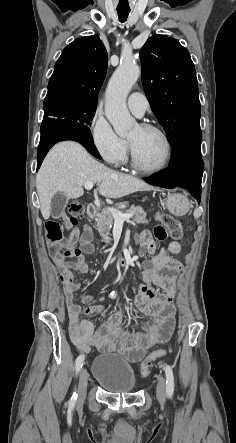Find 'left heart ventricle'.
Listing matches in <instances>:
<instances>
[{
  "mask_svg": "<svg viewBox=\"0 0 236 443\" xmlns=\"http://www.w3.org/2000/svg\"><path fill=\"white\" fill-rule=\"evenodd\" d=\"M128 139L134 146L139 162L147 168L160 166L166 158V144L162 136L142 129L139 125L131 132Z\"/></svg>",
  "mask_w": 236,
  "mask_h": 443,
  "instance_id": "obj_1",
  "label": "left heart ventricle"
}]
</instances>
